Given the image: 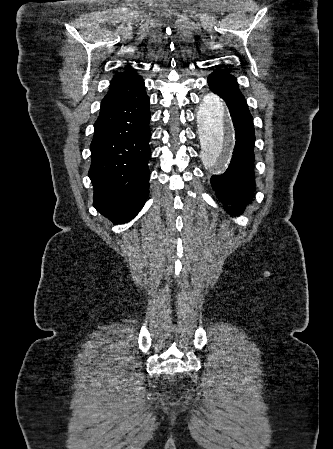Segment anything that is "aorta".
Segmentation results:
<instances>
[{"instance_id": "1", "label": "aorta", "mask_w": 333, "mask_h": 449, "mask_svg": "<svg viewBox=\"0 0 333 449\" xmlns=\"http://www.w3.org/2000/svg\"><path fill=\"white\" fill-rule=\"evenodd\" d=\"M198 120L202 160L218 169L226 162L234 146V130L224 100L216 94H208L198 111Z\"/></svg>"}]
</instances>
